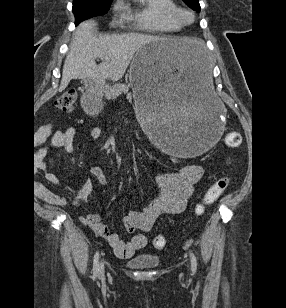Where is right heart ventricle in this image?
<instances>
[{
  "instance_id": "e07e8e85",
  "label": "right heart ventricle",
  "mask_w": 286,
  "mask_h": 308,
  "mask_svg": "<svg viewBox=\"0 0 286 308\" xmlns=\"http://www.w3.org/2000/svg\"><path fill=\"white\" fill-rule=\"evenodd\" d=\"M175 0H144L125 8L126 20L131 27L148 33H172L182 28L175 17Z\"/></svg>"
}]
</instances>
